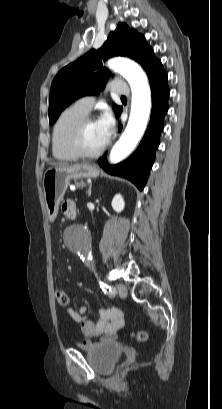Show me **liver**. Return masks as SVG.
<instances>
[{
	"mask_svg": "<svg viewBox=\"0 0 222 409\" xmlns=\"http://www.w3.org/2000/svg\"><path fill=\"white\" fill-rule=\"evenodd\" d=\"M52 165H54V166H62V164H52Z\"/></svg>",
	"mask_w": 222,
	"mask_h": 409,
	"instance_id": "1",
	"label": "liver"
}]
</instances>
